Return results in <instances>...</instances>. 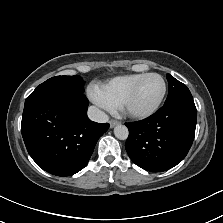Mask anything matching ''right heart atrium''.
Listing matches in <instances>:
<instances>
[{"label":"right heart atrium","mask_w":223,"mask_h":223,"mask_svg":"<svg viewBox=\"0 0 223 223\" xmlns=\"http://www.w3.org/2000/svg\"><path fill=\"white\" fill-rule=\"evenodd\" d=\"M92 98L94 102L104 108V109H110L111 107L107 103V101L103 98V96L100 94L99 90L97 88H93L92 90Z\"/></svg>","instance_id":"obj_1"}]
</instances>
